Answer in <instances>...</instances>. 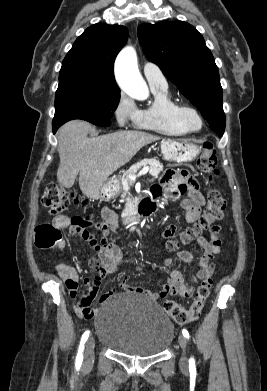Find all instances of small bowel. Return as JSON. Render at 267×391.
<instances>
[{
  "instance_id": "obj_1",
  "label": "small bowel",
  "mask_w": 267,
  "mask_h": 391,
  "mask_svg": "<svg viewBox=\"0 0 267 391\" xmlns=\"http://www.w3.org/2000/svg\"><path fill=\"white\" fill-rule=\"evenodd\" d=\"M151 193L154 199L162 196L170 199L184 196L180 202V206L184 210L185 221L187 223H194L199 219L201 208L204 204V197L199 191L196 180L186 171L168 169L159 183L152 187ZM101 216L109 227L116 228L118 226V216L112 209L104 208ZM89 225L90 222L81 220L79 216H58L54 219V227L60 230L70 231L85 240L90 239V234L87 230ZM220 231L221 227L216 226L210 239L202 236L198 237L197 243L202 250V254L197 259L198 269L191 277L192 284H197L198 281L211 277L215 267L212 260L216 255L220 254L222 247ZM179 234L177 227L174 225L167 226L163 232L166 238H173ZM64 247V241H59L57 248L63 250ZM177 256L182 262L187 264L194 261V256L187 250L178 251ZM121 259L122 252L115 245L98 250V257L91 261V265L95 269V274L84 279L88 292L75 305V311L80 317L91 318L94 315L96 309L92 303L98 295L101 281L105 276L113 274L118 270ZM172 262V259H167L165 265L169 266ZM56 268L59 276L65 282L70 295L73 298L77 297L79 289L78 271L64 263H59ZM118 286L126 292L143 293L153 301L172 295L188 298L193 292V286L187 282L184 274L180 270H173L162 289L157 292L133 287L129 283L127 275L119 282ZM115 292L116 287L111 286L107 293L100 297V302L107 300Z\"/></svg>"
}]
</instances>
